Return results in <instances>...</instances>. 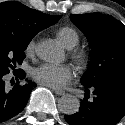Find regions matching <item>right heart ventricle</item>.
Wrapping results in <instances>:
<instances>
[{
  "label": "right heart ventricle",
  "instance_id": "1",
  "mask_svg": "<svg viewBox=\"0 0 125 125\" xmlns=\"http://www.w3.org/2000/svg\"><path fill=\"white\" fill-rule=\"evenodd\" d=\"M57 35L63 45L68 49L74 48L80 40L78 33L70 27H61L57 31Z\"/></svg>",
  "mask_w": 125,
  "mask_h": 125
}]
</instances>
